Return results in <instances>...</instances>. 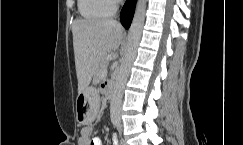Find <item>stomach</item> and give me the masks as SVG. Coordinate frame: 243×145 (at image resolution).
Masks as SVG:
<instances>
[{
    "instance_id": "1",
    "label": "stomach",
    "mask_w": 243,
    "mask_h": 145,
    "mask_svg": "<svg viewBox=\"0 0 243 145\" xmlns=\"http://www.w3.org/2000/svg\"><path fill=\"white\" fill-rule=\"evenodd\" d=\"M100 99L101 94H89L87 91L80 93L76 101V120L81 124L94 121Z\"/></svg>"
}]
</instances>
